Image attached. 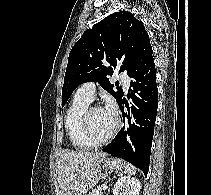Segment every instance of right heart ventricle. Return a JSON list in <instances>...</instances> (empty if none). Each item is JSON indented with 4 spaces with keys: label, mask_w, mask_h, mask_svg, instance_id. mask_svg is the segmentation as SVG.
<instances>
[{
    "label": "right heart ventricle",
    "mask_w": 211,
    "mask_h": 195,
    "mask_svg": "<svg viewBox=\"0 0 211 195\" xmlns=\"http://www.w3.org/2000/svg\"><path fill=\"white\" fill-rule=\"evenodd\" d=\"M91 101L86 97L75 94L65 115V129L72 146L79 150L89 149L92 146L85 140L81 131V117Z\"/></svg>",
    "instance_id": "right-heart-ventricle-1"
}]
</instances>
